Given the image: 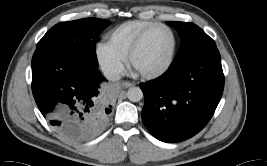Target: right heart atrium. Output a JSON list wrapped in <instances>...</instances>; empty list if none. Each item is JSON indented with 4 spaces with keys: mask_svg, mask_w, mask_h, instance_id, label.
<instances>
[{
    "mask_svg": "<svg viewBox=\"0 0 267 166\" xmlns=\"http://www.w3.org/2000/svg\"><path fill=\"white\" fill-rule=\"evenodd\" d=\"M96 59L109 77L118 76L124 66V58L119 55L107 42H100L95 48Z\"/></svg>",
    "mask_w": 267,
    "mask_h": 166,
    "instance_id": "right-heart-atrium-1",
    "label": "right heart atrium"
}]
</instances>
